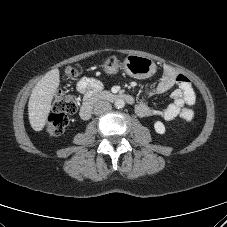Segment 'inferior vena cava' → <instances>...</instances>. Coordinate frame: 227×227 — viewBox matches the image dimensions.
I'll use <instances>...</instances> for the list:
<instances>
[{"label":"inferior vena cava","instance_id":"1","mask_svg":"<svg viewBox=\"0 0 227 227\" xmlns=\"http://www.w3.org/2000/svg\"><path fill=\"white\" fill-rule=\"evenodd\" d=\"M112 109V106L109 102L107 101H98L95 105H94V113L99 115L105 112H108Z\"/></svg>","mask_w":227,"mask_h":227}]
</instances>
